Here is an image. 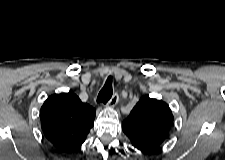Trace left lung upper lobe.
<instances>
[{
	"label": "left lung upper lobe",
	"mask_w": 225,
	"mask_h": 160,
	"mask_svg": "<svg viewBox=\"0 0 225 160\" xmlns=\"http://www.w3.org/2000/svg\"><path fill=\"white\" fill-rule=\"evenodd\" d=\"M173 119L165 102L142 97L123 121L122 130L134 148L150 153L168 138Z\"/></svg>",
	"instance_id": "1"
}]
</instances>
